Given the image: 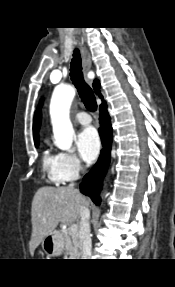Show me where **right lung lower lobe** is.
Instances as JSON below:
<instances>
[{"mask_svg": "<svg viewBox=\"0 0 175 287\" xmlns=\"http://www.w3.org/2000/svg\"><path fill=\"white\" fill-rule=\"evenodd\" d=\"M100 128L99 135L101 137L103 149L100 157L91 171L86 174L80 184V191L86 196H89L96 204H100L99 193L102 189L104 176L107 172L110 162V150L112 143V126L110 116L107 111L106 102L100 106Z\"/></svg>", "mask_w": 175, "mask_h": 287, "instance_id": "right-lung-lower-lobe-1", "label": "right lung lower lobe"}]
</instances>
